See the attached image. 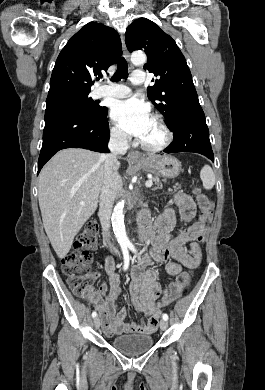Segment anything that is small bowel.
<instances>
[{
    "label": "small bowel",
    "instance_id": "1",
    "mask_svg": "<svg viewBox=\"0 0 265 390\" xmlns=\"http://www.w3.org/2000/svg\"><path fill=\"white\" fill-rule=\"evenodd\" d=\"M174 201L179 207L182 219L185 222L191 221L196 214L193 199L187 194L178 192L174 195ZM142 216L149 219L147 211ZM175 221L174 210L165 209L155 221L151 231V250L143 261L132 268L129 287L130 305L143 315L140 322H124L128 310L119 309L117 306V299L121 294L119 275L115 271L114 259L106 258L105 270L108 283L100 286L91 297L90 303L98 310L103 320V330L108 336L123 333L148 334L156 330L163 307L160 299L170 286L163 288L157 281L156 271L146 269L145 265L166 262V272L171 276L179 275L182 267L189 269L198 267L201 251L197 242L204 237L206 219L200 217L196 223L172 234ZM188 243L190 252L185 248Z\"/></svg>",
    "mask_w": 265,
    "mask_h": 390
}]
</instances>
